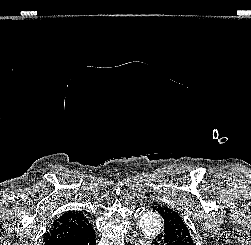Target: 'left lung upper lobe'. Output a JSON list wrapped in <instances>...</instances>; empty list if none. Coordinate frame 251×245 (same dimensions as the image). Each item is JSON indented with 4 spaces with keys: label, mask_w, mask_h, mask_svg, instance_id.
I'll list each match as a JSON object with an SVG mask.
<instances>
[{
    "label": "left lung upper lobe",
    "mask_w": 251,
    "mask_h": 245,
    "mask_svg": "<svg viewBox=\"0 0 251 245\" xmlns=\"http://www.w3.org/2000/svg\"><path fill=\"white\" fill-rule=\"evenodd\" d=\"M152 209L158 212L164 220V232L172 231L181 241L187 245H194L191 234L182 220L174 210L161 205L152 206Z\"/></svg>",
    "instance_id": "1"
}]
</instances>
